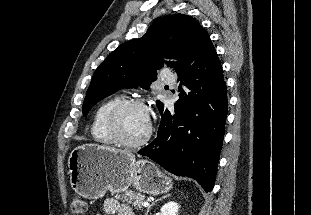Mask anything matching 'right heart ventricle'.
I'll return each mask as SVG.
<instances>
[{
  "mask_svg": "<svg viewBox=\"0 0 311 215\" xmlns=\"http://www.w3.org/2000/svg\"><path fill=\"white\" fill-rule=\"evenodd\" d=\"M123 99L124 97L122 95H115L104 100L96 108L91 124V135L96 142L105 145L115 143L107 128V117L111 109Z\"/></svg>",
  "mask_w": 311,
  "mask_h": 215,
  "instance_id": "1",
  "label": "right heart ventricle"
}]
</instances>
